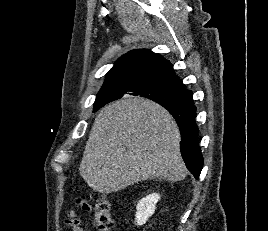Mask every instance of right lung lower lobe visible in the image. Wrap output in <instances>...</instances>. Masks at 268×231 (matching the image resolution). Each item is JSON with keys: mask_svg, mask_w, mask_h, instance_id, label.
Here are the masks:
<instances>
[{"mask_svg": "<svg viewBox=\"0 0 268 231\" xmlns=\"http://www.w3.org/2000/svg\"><path fill=\"white\" fill-rule=\"evenodd\" d=\"M163 106V105H162ZM165 107L175 118L181 132V154L188 170L196 179L203 166V157L198 140V126L195 122L196 108L194 102L187 106L165 105Z\"/></svg>", "mask_w": 268, "mask_h": 231, "instance_id": "1", "label": "right lung lower lobe"}]
</instances>
